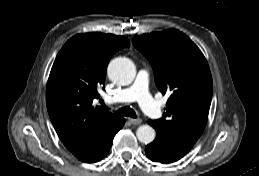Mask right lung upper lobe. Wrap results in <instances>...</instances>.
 Returning <instances> with one entry per match:
<instances>
[{"instance_id":"obj_1","label":"right lung upper lobe","mask_w":259,"mask_h":176,"mask_svg":"<svg viewBox=\"0 0 259 176\" xmlns=\"http://www.w3.org/2000/svg\"><path fill=\"white\" fill-rule=\"evenodd\" d=\"M129 47L123 36L83 33L70 38L58 53L46 89L52 124L65 147L77 158L93 152L120 126L122 118L93 105L104 89L109 60Z\"/></svg>"}]
</instances>
